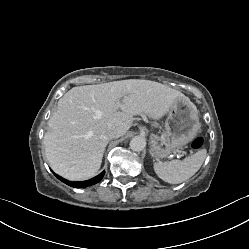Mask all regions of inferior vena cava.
Here are the masks:
<instances>
[{
	"label": "inferior vena cava",
	"mask_w": 249,
	"mask_h": 249,
	"mask_svg": "<svg viewBox=\"0 0 249 249\" xmlns=\"http://www.w3.org/2000/svg\"><path fill=\"white\" fill-rule=\"evenodd\" d=\"M101 137L105 140H111L120 137V134L113 128H107L102 132Z\"/></svg>",
	"instance_id": "obj_1"
}]
</instances>
